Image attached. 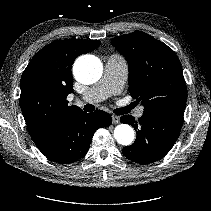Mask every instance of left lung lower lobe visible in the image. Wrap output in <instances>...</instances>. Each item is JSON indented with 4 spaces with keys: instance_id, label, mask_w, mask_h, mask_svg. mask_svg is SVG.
Here are the masks:
<instances>
[{
    "instance_id": "left-lung-lower-lobe-1",
    "label": "left lung lower lobe",
    "mask_w": 211,
    "mask_h": 211,
    "mask_svg": "<svg viewBox=\"0 0 211 211\" xmlns=\"http://www.w3.org/2000/svg\"><path fill=\"white\" fill-rule=\"evenodd\" d=\"M184 110L178 108L153 109L143 112L138 120L131 115L120 118L137 130L135 142L123 148L129 160L149 164L163 158L177 140Z\"/></svg>"
}]
</instances>
